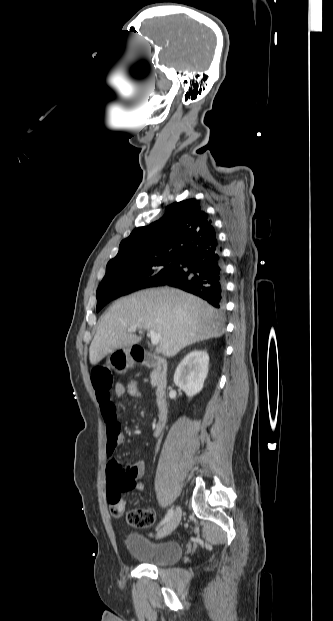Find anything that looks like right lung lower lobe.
<instances>
[{
	"mask_svg": "<svg viewBox=\"0 0 333 621\" xmlns=\"http://www.w3.org/2000/svg\"><path fill=\"white\" fill-rule=\"evenodd\" d=\"M182 289L223 308L225 300V267L218 243L182 258L177 272L160 284Z\"/></svg>",
	"mask_w": 333,
	"mask_h": 621,
	"instance_id": "obj_1",
	"label": "right lung lower lobe"
}]
</instances>
